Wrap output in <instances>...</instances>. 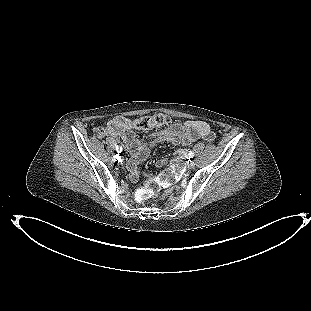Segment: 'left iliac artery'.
Masks as SVG:
<instances>
[{"instance_id":"1","label":"left iliac artery","mask_w":311,"mask_h":311,"mask_svg":"<svg viewBox=\"0 0 311 311\" xmlns=\"http://www.w3.org/2000/svg\"><path fill=\"white\" fill-rule=\"evenodd\" d=\"M188 156H189V158H193L194 157V153L192 151H189Z\"/></svg>"}]
</instances>
